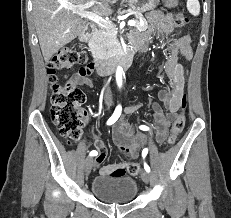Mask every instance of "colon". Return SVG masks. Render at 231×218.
Returning a JSON list of instances; mask_svg holds the SVG:
<instances>
[{
    "label": "colon",
    "instance_id": "1",
    "mask_svg": "<svg viewBox=\"0 0 231 218\" xmlns=\"http://www.w3.org/2000/svg\"><path fill=\"white\" fill-rule=\"evenodd\" d=\"M178 0H165L167 7L175 8ZM187 23V18L182 13H177L175 24L181 29ZM85 52L73 47L64 46L54 54L47 63L48 79L51 84V117L53 123L59 130L62 137L69 141H77L82 134V126L86 117L83 109L85 95L72 79L60 83L57 75L58 71L72 68L75 65L87 62ZM187 105L186 95L181 99V112L177 115L171 128L168 138L169 144H174L178 136L185 127V108ZM131 175H137L141 171V166L137 162H132L127 167Z\"/></svg>",
    "mask_w": 231,
    "mask_h": 218
}]
</instances>
